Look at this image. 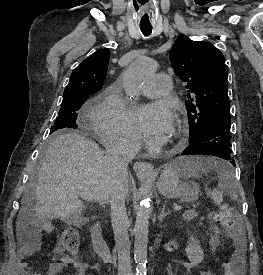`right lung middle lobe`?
<instances>
[{
	"instance_id": "obj_1",
	"label": "right lung middle lobe",
	"mask_w": 263,
	"mask_h": 275,
	"mask_svg": "<svg viewBox=\"0 0 263 275\" xmlns=\"http://www.w3.org/2000/svg\"><path fill=\"white\" fill-rule=\"evenodd\" d=\"M88 97L87 93H76L63 97L59 116L51 127L50 134L60 129L76 128L77 111Z\"/></svg>"
}]
</instances>
